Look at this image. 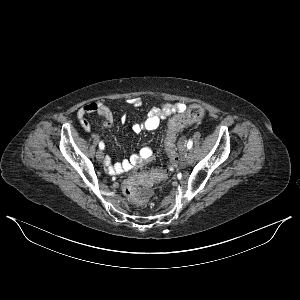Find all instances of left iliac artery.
Masks as SVG:
<instances>
[{
  "instance_id": "44dca946",
  "label": "left iliac artery",
  "mask_w": 300,
  "mask_h": 300,
  "mask_svg": "<svg viewBox=\"0 0 300 300\" xmlns=\"http://www.w3.org/2000/svg\"><path fill=\"white\" fill-rule=\"evenodd\" d=\"M192 146H193V141L190 139V140L188 141V143H187V148H188V149H191Z\"/></svg>"
}]
</instances>
